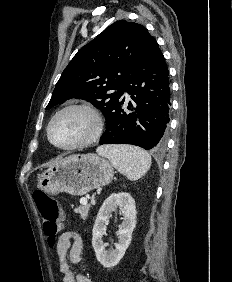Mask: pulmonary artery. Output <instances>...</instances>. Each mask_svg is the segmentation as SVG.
<instances>
[{
  "label": "pulmonary artery",
  "mask_w": 232,
  "mask_h": 282,
  "mask_svg": "<svg viewBox=\"0 0 232 282\" xmlns=\"http://www.w3.org/2000/svg\"><path fill=\"white\" fill-rule=\"evenodd\" d=\"M124 95L127 97L128 95H127V93H124Z\"/></svg>",
  "instance_id": "pulmonary-artery-1"
}]
</instances>
